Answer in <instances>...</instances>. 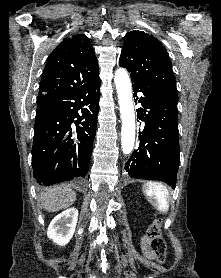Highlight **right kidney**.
<instances>
[{
  "instance_id": "obj_1",
  "label": "right kidney",
  "mask_w": 221,
  "mask_h": 278,
  "mask_svg": "<svg viewBox=\"0 0 221 278\" xmlns=\"http://www.w3.org/2000/svg\"><path fill=\"white\" fill-rule=\"evenodd\" d=\"M78 220V210L70 208L58 214L50 223L47 231L49 239L64 246L72 238Z\"/></svg>"
}]
</instances>
